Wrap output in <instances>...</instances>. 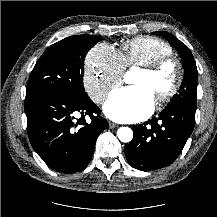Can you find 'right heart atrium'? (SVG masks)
<instances>
[{
    "instance_id": "obj_1",
    "label": "right heart atrium",
    "mask_w": 217,
    "mask_h": 217,
    "mask_svg": "<svg viewBox=\"0 0 217 217\" xmlns=\"http://www.w3.org/2000/svg\"><path fill=\"white\" fill-rule=\"evenodd\" d=\"M123 74L122 62L111 46L95 45L86 55L83 85L96 104H102L108 94L121 84Z\"/></svg>"
}]
</instances>
